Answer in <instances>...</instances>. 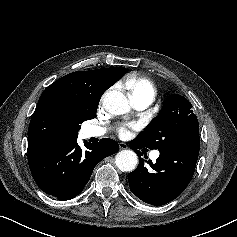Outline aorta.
I'll return each instance as SVG.
<instances>
[{
    "mask_svg": "<svg viewBox=\"0 0 237 237\" xmlns=\"http://www.w3.org/2000/svg\"><path fill=\"white\" fill-rule=\"evenodd\" d=\"M103 106L112 115H122L130 110L128 99L119 91L108 92L103 98ZM115 163L121 171L131 172L138 164V157L131 150H122L117 153Z\"/></svg>",
    "mask_w": 237,
    "mask_h": 237,
    "instance_id": "762f6f07",
    "label": "aorta"
}]
</instances>
